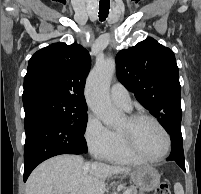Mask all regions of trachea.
<instances>
[{
    "label": "trachea",
    "mask_w": 201,
    "mask_h": 194,
    "mask_svg": "<svg viewBox=\"0 0 201 194\" xmlns=\"http://www.w3.org/2000/svg\"><path fill=\"white\" fill-rule=\"evenodd\" d=\"M110 3L109 2H100L99 4V19L104 21L109 14Z\"/></svg>",
    "instance_id": "3493384b"
}]
</instances>
